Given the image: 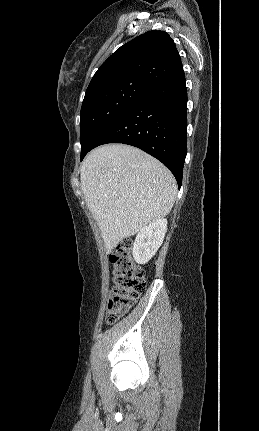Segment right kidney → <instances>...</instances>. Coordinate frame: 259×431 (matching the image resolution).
<instances>
[{
    "label": "right kidney",
    "mask_w": 259,
    "mask_h": 431,
    "mask_svg": "<svg viewBox=\"0 0 259 431\" xmlns=\"http://www.w3.org/2000/svg\"><path fill=\"white\" fill-rule=\"evenodd\" d=\"M167 231V219L154 220L143 227L133 244V257L138 264H146L161 246Z\"/></svg>",
    "instance_id": "ca27d5eb"
}]
</instances>
